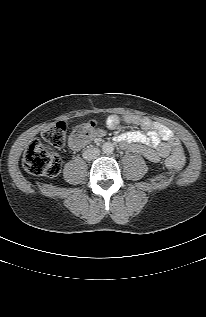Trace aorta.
Returning a JSON list of instances; mask_svg holds the SVG:
<instances>
[{
	"instance_id": "1",
	"label": "aorta",
	"mask_w": 206,
	"mask_h": 317,
	"mask_svg": "<svg viewBox=\"0 0 206 317\" xmlns=\"http://www.w3.org/2000/svg\"><path fill=\"white\" fill-rule=\"evenodd\" d=\"M102 151L105 153V154H112V152L114 151V146L112 143L110 142H106L103 144L102 146Z\"/></svg>"
}]
</instances>
